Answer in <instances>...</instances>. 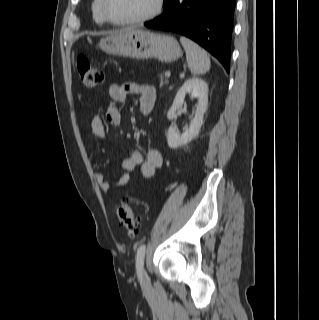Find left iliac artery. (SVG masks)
I'll use <instances>...</instances> for the list:
<instances>
[{"label":"left iliac artery","mask_w":319,"mask_h":320,"mask_svg":"<svg viewBox=\"0 0 319 320\" xmlns=\"http://www.w3.org/2000/svg\"><path fill=\"white\" fill-rule=\"evenodd\" d=\"M146 252V245L142 244L137 249V255H136V268H137V274L139 278L142 276L143 272V264H144V257Z\"/></svg>","instance_id":"obj_1"}]
</instances>
